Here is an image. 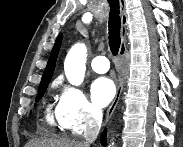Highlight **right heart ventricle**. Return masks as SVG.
I'll return each instance as SVG.
<instances>
[{
    "mask_svg": "<svg viewBox=\"0 0 183 147\" xmlns=\"http://www.w3.org/2000/svg\"><path fill=\"white\" fill-rule=\"evenodd\" d=\"M46 119L52 127L64 128L58 117L57 105L53 109L50 106L47 107Z\"/></svg>",
    "mask_w": 183,
    "mask_h": 147,
    "instance_id": "e07e8e85",
    "label": "right heart ventricle"
}]
</instances>
